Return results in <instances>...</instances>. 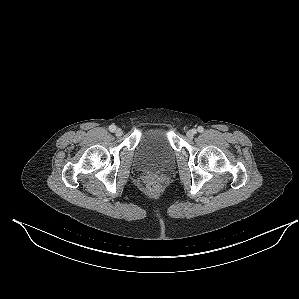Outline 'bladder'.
I'll list each match as a JSON object with an SVG mask.
<instances>
[{"label": "bladder", "mask_w": 299, "mask_h": 299, "mask_svg": "<svg viewBox=\"0 0 299 299\" xmlns=\"http://www.w3.org/2000/svg\"><path fill=\"white\" fill-rule=\"evenodd\" d=\"M135 163L143 171L163 172L175 162V150L166 128H148L141 132L134 154Z\"/></svg>", "instance_id": "bladder-1"}]
</instances>
